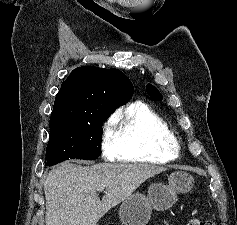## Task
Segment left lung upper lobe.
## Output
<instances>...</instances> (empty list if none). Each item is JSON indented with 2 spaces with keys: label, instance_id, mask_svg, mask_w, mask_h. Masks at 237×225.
<instances>
[{
  "label": "left lung upper lobe",
  "instance_id": "obj_1",
  "mask_svg": "<svg viewBox=\"0 0 237 225\" xmlns=\"http://www.w3.org/2000/svg\"><path fill=\"white\" fill-rule=\"evenodd\" d=\"M147 93L155 100H162V95L159 93V91L152 85H147Z\"/></svg>",
  "mask_w": 237,
  "mask_h": 225
}]
</instances>
